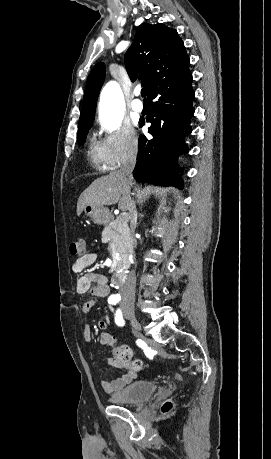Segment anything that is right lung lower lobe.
<instances>
[{
	"mask_svg": "<svg viewBox=\"0 0 271 459\" xmlns=\"http://www.w3.org/2000/svg\"><path fill=\"white\" fill-rule=\"evenodd\" d=\"M191 83L192 74L188 71L170 77L148 96L151 114L146 120L151 123L149 132L153 138L139 136L133 172L138 182L182 187L179 176L182 169L177 168V157L188 152L184 137L192 131L190 120L194 114L195 92ZM139 125L142 127L144 121Z\"/></svg>",
	"mask_w": 271,
	"mask_h": 459,
	"instance_id": "98d812e1",
	"label": "right lung lower lobe"
}]
</instances>
